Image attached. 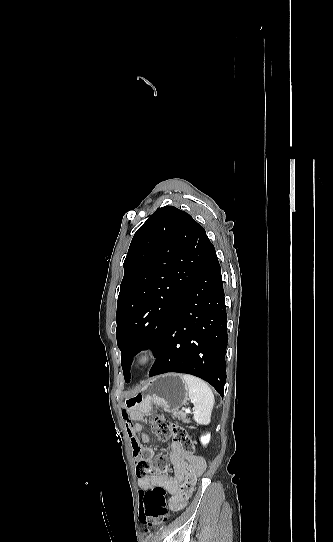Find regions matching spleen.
Wrapping results in <instances>:
<instances>
[{
	"label": "spleen",
	"mask_w": 333,
	"mask_h": 542,
	"mask_svg": "<svg viewBox=\"0 0 333 542\" xmlns=\"http://www.w3.org/2000/svg\"><path fill=\"white\" fill-rule=\"evenodd\" d=\"M183 384H186L188 398L194 406L193 420L200 426H208L211 422V414L214 406V396L211 388L206 382L190 376V374H180Z\"/></svg>",
	"instance_id": "1"
}]
</instances>
